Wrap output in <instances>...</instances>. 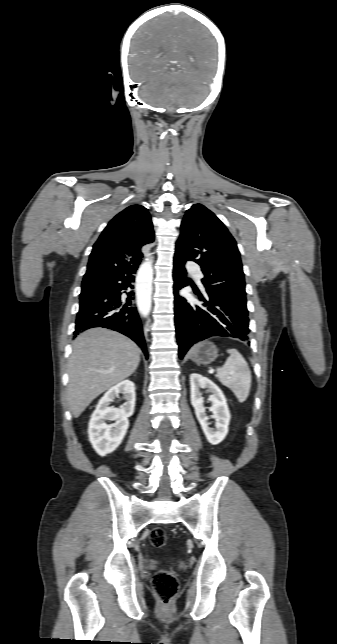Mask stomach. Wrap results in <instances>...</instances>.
I'll use <instances>...</instances> for the list:
<instances>
[{
	"label": "stomach",
	"mask_w": 337,
	"mask_h": 644,
	"mask_svg": "<svg viewBox=\"0 0 337 644\" xmlns=\"http://www.w3.org/2000/svg\"><path fill=\"white\" fill-rule=\"evenodd\" d=\"M218 356L217 347L210 341L202 342L194 346L189 352V358L197 364H210Z\"/></svg>",
	"instance_id": "0dacf381"
}]
</instances>
